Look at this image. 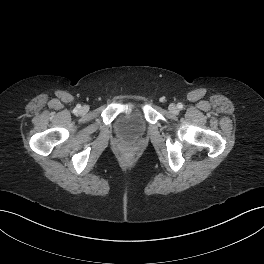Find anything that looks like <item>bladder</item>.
Here are the masks:
<instances>
[{"label":"bladder","mask_w":264,"mask_h":264,"mask_svg":"<svg viewBox=\"0 0 264 264\" xmlns=\"http://www.w3.org/2000/svg\"><path fill=\"white\" fill-rule=\"evenodd\" d=\"M116 131L126 141L141 138L147 129V122L138 110H131L120 114L116 120Z\"/></svg>","instance_id":"obj_1"}]
</instances>
